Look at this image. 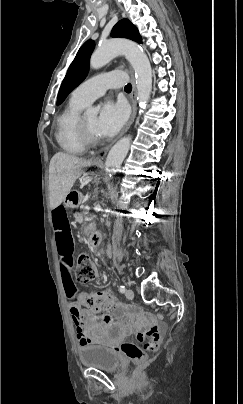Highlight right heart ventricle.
I'll return each instance as SVG.
<instances>
[{"label":"right heart ventricle","mask_w":243,"mask_h":404,"mask_svg":"<svg viewBox=\"0 0 243 404\" xmlns=\"http://www.w3.org/2000/svg\"><path fill=\"white\" fill-rule=\"evenodd\" d=\"M103 45L104 43L101 42L98 50ZM86 106L87 104L79 97L78 91L75 89L67 105L57 117L54 139L59 149L67 155L80 156L88 151V145L77 131L80 113Z\"/></svg>","instance_id":"right-heart-ventricle-1"}]
</instances>
